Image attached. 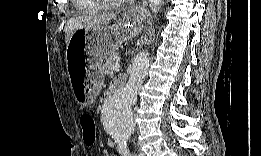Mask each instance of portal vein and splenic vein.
<instances>
[{
    "label": "portal vein and splenic vein",
    "mask_w": 261,
    "mask_h": 156,
    "mask_svg": "<svg viewBox=\"0 0 261 156\" xmlns=\"http://www.w3.org/2000/svg\"><path fill=\"white\" fill-rule=\"evenodd\" d=\"M120 64H115V65H113V67H112V69H113V71H118V70H120Z\"/></svg>",
    "instance_id": "obj_1"
}]
</instances>
